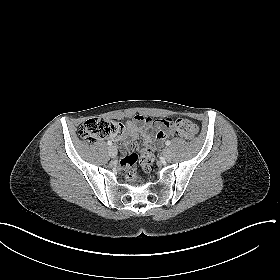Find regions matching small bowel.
<instances>
[{"label": "small bowel", "instance_id": "c3829d8e", "mask_svg": "<svg viewBox=\"0 0 280 280\" xmlns=\"http://www.w3.org/2000/svg\"><path fill=\"white\" fill-rule=\"evenodd\" d=\"M169 126L170 122L168 119L155 120L138 114L126 122L125 132L114 136V139L122 142L123 150H128L131 142L142 135L146 148L150 147L154 150L160 147L164 140L173 134ZM164 128L167 130H164ZM151 131H155L154 136L151 135Z\"/></svg>", "mask_w": 280, "mask_h": 280}]
</instances>
